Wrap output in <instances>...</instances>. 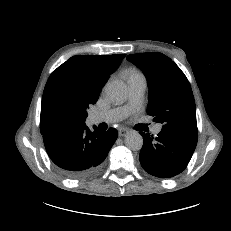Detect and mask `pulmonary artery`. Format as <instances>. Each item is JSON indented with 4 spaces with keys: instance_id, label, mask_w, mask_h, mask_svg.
I'll return each instance as SVG.
<instances>
[{
    "instance_id": "e3ab8cb5",
    "label": "pulmonary artery",
    "mask_w": 231,
    "mask_h": 231,
    "mask_svg": "<svg viewBox=\"0 0 231 231\" xmlns=\"http://www.w3.org/2000/svg\"><path fill=\"white\" fill-rule=\"evenodd\" d=\"M129 89V105L126 107L114 108L107 111H96L89 115V121L92 124L114 123L124 119L128 113L137 108L142 101L146 90V81L140 80L128 83ZM161 124L153 127V132L159 134L161 132Z\"/></svg>"
}]
</instances>
